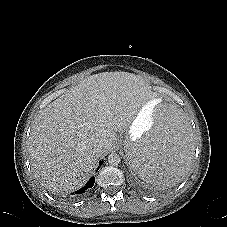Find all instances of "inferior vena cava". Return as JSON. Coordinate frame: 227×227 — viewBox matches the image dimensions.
Wrapping results in <instances>:
<instances>
[{
	"label": "inferior vena cava",
	"instance_id": "obj_1",
	"mask_svg": "<svg viewBox=\"0 0 227 227\" xmlns=\"http://www.w3.org/2000/svg\"><path fill=\"white\" fill-rule=\"evenodd\" d=\"M105 145L104 142H99L95 144V150H99L101 149L103 146Z\"/></svg>",
	"mask_w": 227,
	"mask_h": 227
}]
</instances>
